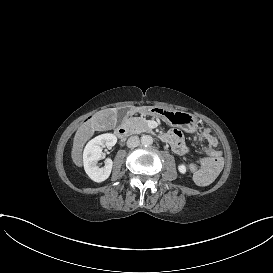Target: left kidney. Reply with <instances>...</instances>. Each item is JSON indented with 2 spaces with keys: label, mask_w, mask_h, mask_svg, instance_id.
<instances>
[{
  "label": "left kidney",
  "mask_w": 273,
  "mask_h": 273,
  "mask_svg": "<svg viewBox=\"0 0 273 273\" xmlns=\"http://www.w3.org/2000/svg\"><path fill=\"white\" fill-rule=\"evenodd\" d=\"M177 170L181 175H186L188 171V167L185 163H178Z\"/></svg>",
  "instance_id": "left-kidney-1"
}]
</instances>
